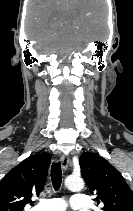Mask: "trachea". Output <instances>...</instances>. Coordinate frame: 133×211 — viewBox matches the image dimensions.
I'll list each match as a JSON object with an SVG mask.
<instances>
[{
  "instance_id": "1",
  "label": "trachea",
  "mask_w": 133,
  "mask_h": 211,
  "mask_svg": "<svg viewBox=\"0 0 133 211\" xmlns=\"http://www.w3.org/2000/svg\"><path fill=\"white\" fill-rule=\"evenodd\" d=\"M51 181L55 190H59L62 183L61 164L53 163L51 166Z\"/></svg>"
}]
</instances>
